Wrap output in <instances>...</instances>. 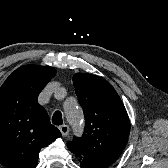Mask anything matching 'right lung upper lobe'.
Segmentation results:
<instances>
[{
	"mask_svg": "<svg viewBox=\"0 0 168 168\" xmlns=\"http://www.w3.org/2000/svg\"><path fill=\"white\" fill-rule=\"evenodd\" d=\"M56 74L50 66L24 65L0 88V163L35 168L42 147L61 136L37 98Z\"/></svg>",
	"mask_w": 168,
	"mask_h": 168,
	"instance_id": "cb5924a9",
	"label": "right lung upper lobe"
}]
</instances>
